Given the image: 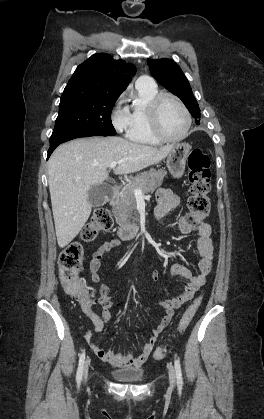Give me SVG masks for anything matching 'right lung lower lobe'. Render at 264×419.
Here are the masks:
<instances>
[{"label":"right lung lower lobe","instance_id":"1","mask_svg":"<svg viewBox=\"0 0 264 419\" xmlns=\"http://www.w3.org/2000/svg\"><path fill=\"white\" fill-rule=\"evenodd\" d=\"M89 136H113V135H109V134H105V133H100V132H81V133H77V134L71 135V136H69V137H67V138L63 139V140H62V141H60L59 143H56V144H52V145H50V148H49V150H48V157H47V159L49 158V156L51 155V153L54 151V149H55V148H56L59 144L64 143V142L69 141V140H72V139H75V138H79V137H89Z\"/></svg>","mask_w":264,"mask_h":419}]
</instances>
